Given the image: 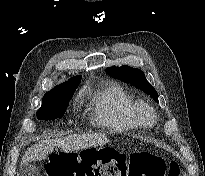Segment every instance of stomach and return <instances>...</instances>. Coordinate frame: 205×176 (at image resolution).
Returning <instances> with one entry per match:
<instances>
[{"mask_svg":"<svg viewBox=\"0 0 205 176\" xmlns=\"http://www.w3.org/2000/svg\"><path fill=\"white\" fill-rule=\"evenodd\" d=\"M104 149V147H89V148H86V149H83L82 151H92V150H95L97 152H99L100 150Z\"/></svg>","mask_w":205,"mask_h":176,"instance_id":"stomach-1","label":"stomach"}]
</instances>
